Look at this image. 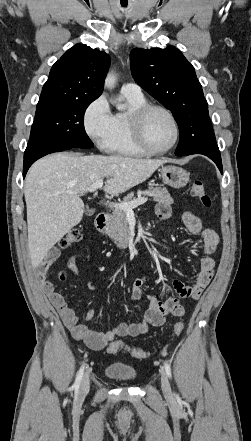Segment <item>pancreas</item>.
I'll return each instance as SVG.
<instances>
[{
    "label": "pancreas",
    "instance_id": "cf45deb5",
    "mask_svg": "<svg viewBox=\"0 0 251 441\" xmlns=\"http://www.w3.org/2000/svg\"><path fill=\"white\" fill-rule=\"evenodd\" d=\"M137 193L151 195L153 196V201L155 202L167 205L173 204V199L166 188L150 186L147 190L138 191ZM134 199V193L131 192L123 198V202H130ZM106 232L112 239L120 243L127 242L130 230L127 221L126 211L122 209H115L113 211Z\"/></svg>",
    "mask_w": 251,
    "mask_h": 441
}]
</instances>
